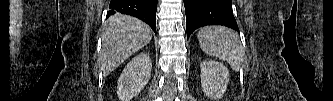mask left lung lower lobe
Returning a JSON list of instances; mask_svg holds the SVG:
<instances>
[{
    "mask_svg": "<svg viewBox=\"0 0 333 101\" xmlns=\"http://www.w3.org/2000/svg\"><path fill=\"white\" fill-rule=\"evenodd\" d=\"M187 39L199 27L224 25L239 32L231 0H184Z\"/></svg>",
    "mask_w": 333,
    "mask_h": 101,
    "instance_id": "0a47b994",
    "label": "left lung lower lobe"
}]
</instances>
